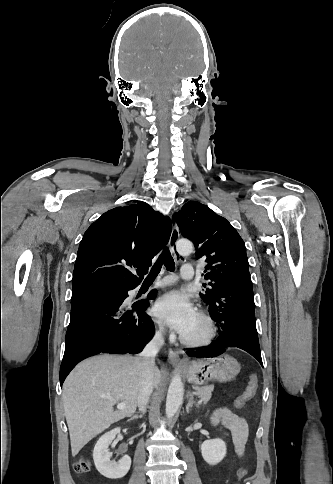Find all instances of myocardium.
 Returning a JSON list of instances; mask_svg holds the SVG:
<instances>
[{
    "label": "myocardium",
    "mask_w": 333,
    "mask_h": 484,
    "mask_svg": "<svg viewBox=\"0 0 333 484\" xmlns=\"http://www.w3.org/2000/svg\"><path fill=\"white\" fill-rule=\"evenodd\" d=\"M197 316L204 322L206 326L205 335L202 338L195 340L186 338L183 334L180 335L181 343L190 348H203L210 345L217 332L215 322L210 315L204 311H199Z\"/></svg>",
    "instance_id": "obj_1"
}]
</instances>
